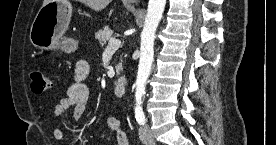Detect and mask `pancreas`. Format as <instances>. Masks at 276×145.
I'll return each instance as SVG.
<instances>
[{
	"mask_svg": "<svg viewBox=\"0 0 276 145\" xmlns=\"http://www.w3.org/2000/svg\"><path fill=\"white\" fill-rule=\"evenodd\" d=\"M113 32L107 27L102 30H99L95 33V39L99 42L101 46H104L111 38H113ZM122 70V65L118 64L116 66V73L119 75Z\"/></svg>",
	"mask_w": 276,
	"mask_h": 145,
	"instance_id": "pancreas-1",
	"label": "pancreas"
}]
</instances>
